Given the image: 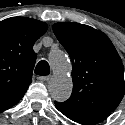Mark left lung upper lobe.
Masks as SVG:
<instances>
[{
    "label": "left lung upper lobe",
    "instance_id": "5c2ea615",
    "mask_svg": "<svg viewBox=\"0 0 125 125\" xmlns=\"http://www.w3.org/2000/svg\"><path fill=\"white\" fill-rule=\"evenodd\" d=\"M53 31L72 60L71 97L57 102L63 112L95 114L112 112L125 93L124 69L110 39L79 23L61 22Z\"/></svg>",
    "mask_w": 125,
    "mask_h": 125
}]
</instances>
